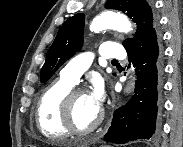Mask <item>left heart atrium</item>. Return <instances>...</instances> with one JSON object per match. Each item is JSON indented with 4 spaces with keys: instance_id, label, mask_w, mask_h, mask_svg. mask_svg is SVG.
Wrapping results in <instances>:
<instances>
[{
    "instance_id": "39dd6f15",
    "label": "left heart atrium",
    "mask_w": 183,
    "mask_h": 147,
    "mask_svg": "<svg viewBox=\"0 0 183 147\" xmlns=\"http://www.w3.org/2000/svg\"><path fill=\"white\" fill-rule=\"evenodd\" d=\"M94 103L100 107L104 98V88L101 82L94 84L93 91L89 94Z\"/></svg>"
}]
</instances>
